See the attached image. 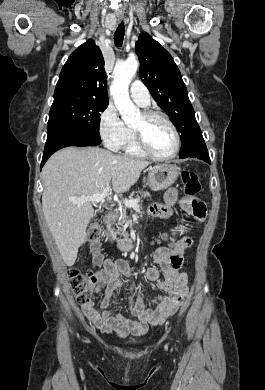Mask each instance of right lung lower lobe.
<instances>
[{"instance_id":"1","label":"right lung lower lobe","mask_w":265,"mask_h":390,"mask_svg":"<svg viewBox=\"0 0 265 390\" xmlns=\"http://www.w3.org/2000/svg\"><path fill=\"white\" fill-rule=\"evenodd\" d=\"M101 140L93 139L81 133L58 129L47 133V141L41 162V168L48 158L57 150L68 146H96Z\"/></svg>"}]
</instances>
